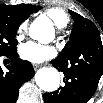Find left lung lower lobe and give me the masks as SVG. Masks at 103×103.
<instances>
[{"mask_svg": "<svg viewBox=\"0 0 103 103\" xmlns=\"http://www.w3.org/2000/svg\"><path fill=\"white\" fill-rule=\"evenodd\" d=\"M90 56H82V51ZM85 55V54H84ZM51 64L65 75L64 87L45 93V103H87L97 89L103 73V45L100 35H88L80 51L58 56Z\"/></svg>", "mask_w": 103, "mask_h": 103, "instance_id": "1", "label": "left lung lower lobe"}]
</instances>
